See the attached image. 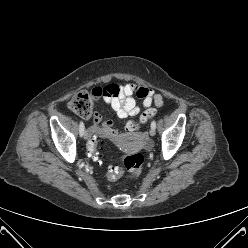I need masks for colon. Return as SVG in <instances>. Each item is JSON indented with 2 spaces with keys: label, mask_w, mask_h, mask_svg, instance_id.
I'll return each instance as SVG.
<instances>
[{
  "label": "colon",
  "mask_w": 248,
  "mask_h": 248,
  "mask_svg": "<svg viewBox=\"0 0 248 248\" xmlns=\"http://www.w3.org/2000/svg\"><path fill=\"white\" fill-rule=\"evenodd\" d=\"M110 91L113 95L118 93V87L114 84L105 86L104 88H95L91 93L82 92L77 94L69 102V109L78 116L83 118L89 117L93 112V101L101 96H105ZM155 115L154 109L145 111L138 121H129L126 124L128 131H136L141 124L148 122ZM99 136L95 132H90L86 136L85 148L89 151L90 156L98 161L100 160V152L98 147ZM144 157L139 152L126 154L120 164L111 165L107 168L105 176L109 180H118L124 177L125 180L137 178L141 171Z\"/></svg>",
  "instance_id": "obj_1"
}]
</instances>
